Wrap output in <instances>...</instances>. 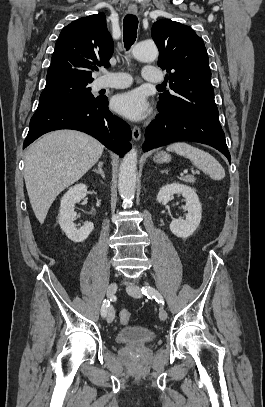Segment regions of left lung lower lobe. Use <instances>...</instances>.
Instances as JSON below:
<instances>
[{
  "mask_svg": "<svg viewBox=\"0 0 265 407\" xmlns=\"http://www.w3.org/2000/svg\"><path fill=\"white\" fill-rule=\"evenodd\" d=\"M145 137L144 151L176 141H192L216 148L231 161L221 126L193 115L159 113L146 128Z\"/></svg>",
  "mask_w": 265,
  "mask_h": 407,
  "instance_id": "1",
  "label": "left lung lower lobe"
}]
</instances>
